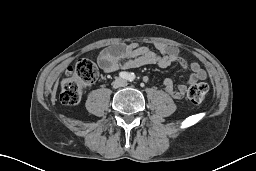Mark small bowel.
Returning <instances> with one entry per match:
<instances>
[{"label":"small bowel","instance_id":"obj_1","mask_svg":"<svg viewBox=\"0 0 256 171\" xmlns=\"http://www.w3.org/2000/svg\"><path fill=\"white\" fill-rule=\"evenodd\" d=\"M153 48L141 43L113 44L99 54L98 65L105 74H108L121 68L134 69L147 65H157L165 69L178 62L185 70L189 69L190 74L186 83L176 87L169 78L163 81L165 92L174 99L183 98L188 86L206 79L205 70L197 62L181 57L177 47L157 42L153 44Z\"/></svg>","mask_w":256,"mask_h":171}]
</instances>
